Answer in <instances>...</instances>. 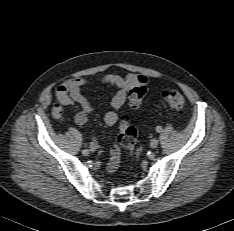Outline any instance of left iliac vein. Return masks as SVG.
Wrapping results in <instances>:
<instances>
[{"mask_svg":"<svg viewBox=\"0 0 234 231\" xmlns=\"http://www.w3.org/2000/svg\"><path fill=\"white\" fill-rule=\"evenodd\" d=\"M158 146V140L156 138H153L151 141H150V147L151 148H157Z\"/></svg>","mask_w":234,"mask_h":231,"instance_id":"obj_1","label":"left iliac vein"}]
</instances>
